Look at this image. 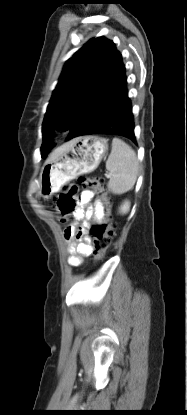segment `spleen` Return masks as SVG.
<instances>
[{"label":"spleen","instance_id":"1","mask_svg":"<svg viewBox=\"0 0 187 415\" xmlns=\"http://www.w3.org/2000/svg\"><path fill=\"white\" fill-rule=\"evenodd\" d=\"M111 178L108 189L113 194H123L133 188L139 169L135 151L119 138L112 140V150L106 161Z\"/></svg>","mask_w":187,"mask_h":415}]
</instances>
